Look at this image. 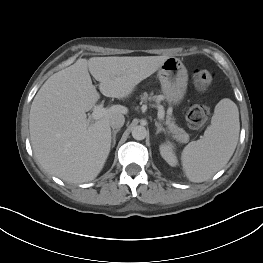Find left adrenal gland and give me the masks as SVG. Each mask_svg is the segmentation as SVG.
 <instances>
[{"label": "left adrenal gland", "mask_w": 263, "mask_h": 263, "mask_svg": "<svg viewBox=\"0 0 263 263\" xmlns=\"http://www.w3.org/2000/svg\"><path fill=\"white\" fill-rule=\"evenodd\" d=\"M155 126L157 127L156 134H159L160 132H164L165 134L167 133L165 128H163V126L159 122L156 121Z\"/></svg>", "instance_id": "left-adrenal-gland-1"}]
</instances>
